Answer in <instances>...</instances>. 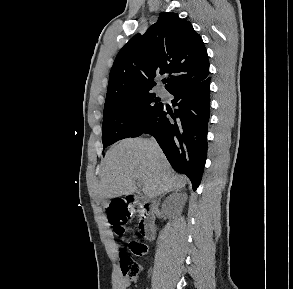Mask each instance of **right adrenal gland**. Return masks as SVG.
Segmentation results:
<instances>
[{"instance_id": "right-adrenal-gland-1", "label": "right adrenal gland", "mask_w": 293, "mask_h": 289, "mask_svg": "<svg viewBox=\"0 0 293 289\" xmlns=\"http://www.w3.org/2000/svg\"><path fill=\"white\" fill-rule=\"evenodd\" d=\"M173 191H174V190L169 191V192H173ZM169 192L163 193V194L160 196L159 201L161 200L162 197H164V196H165L167 193H169Z\"/></svg>"}]
</instances>
